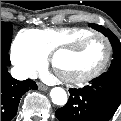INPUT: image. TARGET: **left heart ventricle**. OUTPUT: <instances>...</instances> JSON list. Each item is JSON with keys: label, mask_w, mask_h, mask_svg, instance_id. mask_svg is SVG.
Segmentation results:
<instances>
[{"label": "left heart ventricle", "mask_w": 121, "mask_h": 121, "mask_svg": "<svg viewBox=\"0 0 121 121\" xmlns=\"http://www.w3.org/2000/svg\"><path fill=\"white\" fill-rule=\"evenodd\" d=\"M105 55V44L100 38L90 40L88 47L77 55L72 57L67 53H62L57 60L59 68L63 70L81 69L88 66H98Z\"/></svg>", "instance_id": "obj_1"}]
</instances>
